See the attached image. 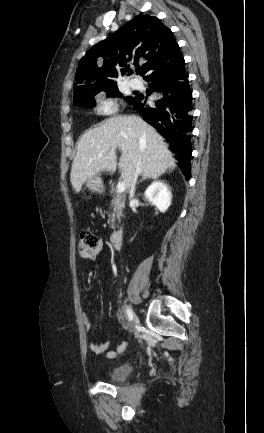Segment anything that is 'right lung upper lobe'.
<instances>
[{"mask_svg": "<svg viewBox=\"0 0 264 433\" xmlns=\"http://www.w3.org/2000/svg\"><path fill=\"white\" fill-rule=\"evenodd\" d=\"M178 54L179 46L172 31L157 17L139 15L95 45L81 59L76 72L78 85L74 89V101L116 87L110 79L115 76V65L125 74L130 63L143 61L138 74L146 76Z\"/></svg>", "mask_w": 264, "mask_h": 433, "instance_id": "obj_1", "label": "right lung upper lobe"}]
</instances>
